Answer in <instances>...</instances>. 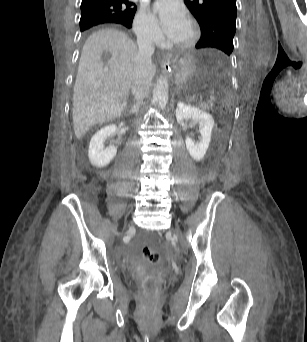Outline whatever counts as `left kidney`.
Masks as SVG:
<instances>
[{
    "instance_id": "1",
    "label": "left kidney",
    "mask_w": 307,
    "mask_h": 342,
    "mask_svg": "<svg viewBox=\"0 0 307 342\" xmlns=\"http://www.w3.org/2000/svg\"><path fill=\"white\" fill-rule=\"evenodd\" d=\"M176 120L178 124H183L184 120H192L193 124H198V132L201 136L200 142L194 144L192 138L186 136L185 144L191 158L196 162H201L211 142V134L214 128L213 116L208 112H203L200 108L179 102L176 108Z\"/></svg>"
}]
</instances>
